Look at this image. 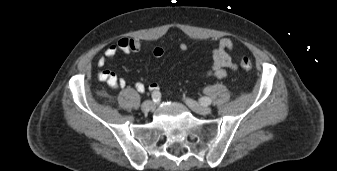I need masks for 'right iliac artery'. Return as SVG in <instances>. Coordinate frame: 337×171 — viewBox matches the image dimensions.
Returning a JSON list of instances; mask_svg holds the SVG:
<instances>
[{
    "instance_id": "82829eb1",
    "label": "right iliac artery",
    "mask_w": 337,
    "mask_h": 171,
    "mask_svg": "<svg viewBox=\"0 0 337 171\" xmlns=\"http://www.w3.org/2000/svg\"><path fill=\"white\" fill-rule=\"evenodd\" d=\"M161 98V93L159 91H155L152 93V99L154 102L159 101Z\"/></svg>"
}]
</instances>
